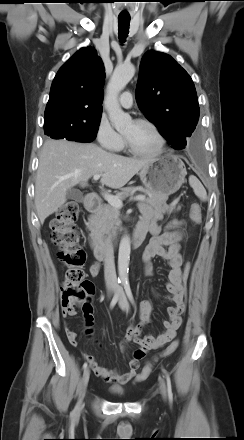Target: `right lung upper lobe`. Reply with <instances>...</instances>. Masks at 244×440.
I'll return each mask as SVG.
<instances>
[{
    "mask_svg": "<svg viewBox=\"0 0 244 440\" xmlns=\"http://www.w3.org/2000/svg\"><path fill=\"white\" fill-rule=\"evenodd\" d=\"M104 66L92 47L80 49L56 74L45 110V121H100Z\"/></svg>",
    "mask_w": 244,
    "mask_h": 440,
    "instance_id": "cb5924a9",
    "label": "right lung upper lobe"
}]
</instances>
